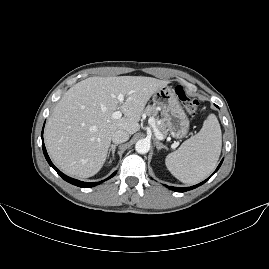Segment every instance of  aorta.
Returning a JSON list of instances; mask_svg holds the SVG:
<instances>
[{
    "instance_id": "1",
    "label": "aorta",
    "mask_w": 269,
    "mask_h": 269,
    "mask_svg": "<svg viewBox=\"0 0 269 269\" xmlns=\"http://www.w3.org/2000/svg\"><path fill=\"white\" fill-rule=\"evenodd\" d=\"M135 149L140 154H145L150 150V141L147 139H140L135 145Z\"/></svg>"
}]
</instances>
